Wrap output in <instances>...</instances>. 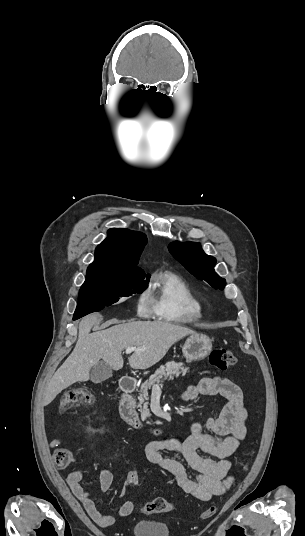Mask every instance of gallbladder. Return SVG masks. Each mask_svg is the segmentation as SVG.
Returning a JSON list of instances; mask_svg holds the SVG:
<instances>
[{
	"instance_id": "1",
	"label": "gallbladder",
	"mask_w": 305,
	"mask_h": 536,
	"mask_svg": "<svg viewBox=\"0 0 305 536\" xmlns=\"http://www.w3.org/2000/svg\"><path fill=\"white\" fill-rule=\"evenodd\" d=\"M111 376V366H109V364H106V362H97V364H94L91 370L90 380L91 382H94V384H100V382L108 380V378H111Z\"/></svg>"
}]
</instances>
